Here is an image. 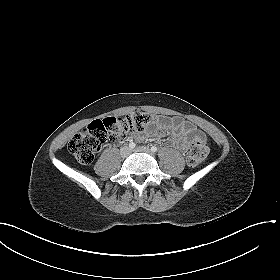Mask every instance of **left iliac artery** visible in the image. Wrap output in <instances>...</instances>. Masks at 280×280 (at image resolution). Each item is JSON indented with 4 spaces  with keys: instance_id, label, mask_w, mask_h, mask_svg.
<instances>
[{
    "instance_id": "obj_1",
    "label": "left iliac artery",
    "mask_w": 280,
    "mask_h": 280,
    "mask_svg": "<svg viewBox=\"0 0 280 280\" xmlns=\"http://www.w3.org/2000/svg\"><path fill=\"white\" fill-rule=\"evenodd\" d=\"M157 150H158V149H157L156 146H152V147H151V151H152V152H156Z\"/></svg>"
}]
</instances>
